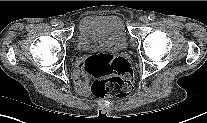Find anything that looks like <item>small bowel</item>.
I'll list each match as a JSON object with an SVG mask.
<instances>
[{
  "label": "small bowel",
  "instance_id": "1",
  "mask_svg": "<svg viewBox=\"0 0 207 123\" xmlns=\"http://www.w3.org/2000/svg\"><path fill=\"white\" fill-rule=\"evenodd\" d=\"M73 77L76 90L82 95H87L89 93V82L84 62H80L79 68L74 71Z\"/></svg>",
  "mask_w": 207,
  "mask_h": 123
}]
</instances>
